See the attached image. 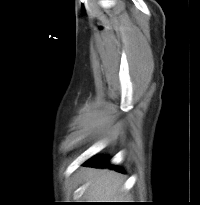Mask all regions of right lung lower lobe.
<instances>
[{"label": "right lung lower lobe", "mask_w": 200, "mask_h": 205, "mask_svg": "<svg viewBox=\"0 0 200 205\" xmlns=\"http://www.w3.org/2000/svg\"><path fill=\"white\" fill-rule=\"evenodd\" d=\"M85 166H95V167H104L109 166V162L106 158H94L90 161L84 163ZM118 170V168H116Z\"/></svg>", "instance_id": "1"}]
</instances>
